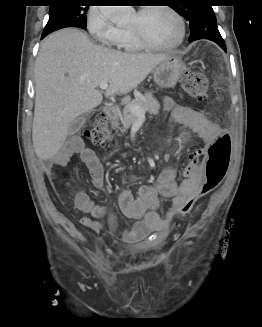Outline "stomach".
<instances>
[{"label": "stomach", "mask_w": 262, "mask_h": 327, "mask_svg": "<svg viewBox=\"0 0 262 327\" xmlns=\"http://www.w3.org/2000/svg\"><path fill=\"white\" fill-rule=\"evenodd\" d=\"M186 66L179 57H169L154 69V81L161 88H173Z\"/></svg>", "instance_id": "stomach-1"}]
</instances>
